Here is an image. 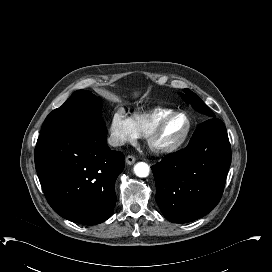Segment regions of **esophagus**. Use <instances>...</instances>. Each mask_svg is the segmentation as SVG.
Instances as JSON below:
<instances>
[{
    "mask_svg": "<svg viewBox=\"0 0 272 272\" xmlns=\"http://www.w3.org/2000/svg\"><path fill=\"white\" fill-rule=\"evenodd\" d=\"M125 161H126V163H127L128 165H132V164L135 163L136 158H135L134 156H132V155H128V156L126 157Z\"/></svg>",
    "mask_w": 272,
    "mask_h": 272,
    "instance_id": "obj_1",
    "label": "esophagus"
}]
</instances>
